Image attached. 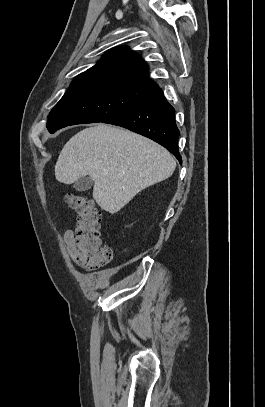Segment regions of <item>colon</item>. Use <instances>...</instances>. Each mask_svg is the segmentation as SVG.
Listing matches in <instances>:
<instances>
[{
  "label": "colon",
  "mask_w": 265,
  "mask_h": 407,
  "mask_svg": "<svg viewBox=\"0 0 265 407\" xmlns=\"http://www.w3.org/2000/svg\"><path fill=\"white\" fill-rule=\"evenodd\" d=\"M64 200L78 214L74 239L77 263L89 270L109 265L113 249L102 243L100 211L92 200L79 193H66Z\"/></svg>",
  "instance_id": "colon-1"
}]
</instances>
